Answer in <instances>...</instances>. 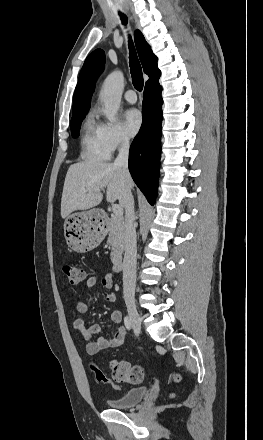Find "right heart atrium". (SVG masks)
<instances>
[{
    "label": "right heart atrium",
    "mask_w": 263,
    "mask_h": 440,
    "mask_svg": "<svg viewBox=\"0 0 263 440\" xmlns=\"http://www.w3.org/2000/svg\"><path fill=\"white\" fill-rule=\"evenodd\" d=\"M102 138L110 154L130 144V138L119 123L107 122L102 124Z\"/></svg>",
    "instance_id": "d8ad5b80"
}]
</instances>
